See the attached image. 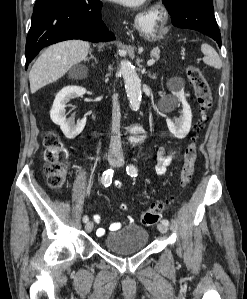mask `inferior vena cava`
Instances as JSON below:
<instances>
[{
    "mask_svg": "<svg viewBox=\"0 0 247 299\" xmlns=\"http://www.w3.org/2000/svg\"><path fill=\"white\" fill-rule=\"evenodd\" d=\"M120 106L118 102V96L113 95L112 97V133L113 136H111V141H110V152L112 154H117L122 151V146H121V137L119 133V128H120Z\"/></svg>",
    "mask_w": 247,
    "mask_h": 299,
    "instance_id": "obj_1",
    "label": "inferior vena cava"
}]
</instances>
